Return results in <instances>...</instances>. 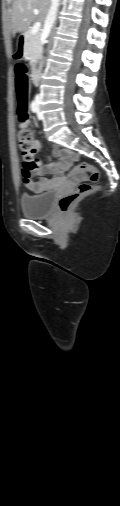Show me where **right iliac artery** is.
<instances>
[{
    "instance_id": "1",
    "label": "right iliac artery",
    "mask_w": 120,
    "mask_h": 506,
    "mask_svg": "<svg viewBox=\"0 0 120 506\" xmlns=\"http://www.w3.org/2000/svg\"><path fill=\"white\" fill-rule=\"evenodd\" d=\"M31 110L34 113H36L38 111V105H37V102L35 100L32 101V103H31Z\"/></svg>"
}]
</instances>
